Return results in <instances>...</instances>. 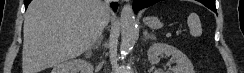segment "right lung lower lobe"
Instances as JSON below:
<instances>
[{"instance_id": "98d812e1", "label": "right lung lower lobe", "mask_w": 244, "mask_h": 73, "mask_svg": "<svg viewBox=\"0 0 244 73\" xmlns=\"http://www.w3.org/2000/svg\"><path fill=\"white\" fill-rule=\"evenodd\" d=\"M32 0H24V4H25V9L27 8L28 4L31 2ZM112 8L114 10L117 9V3H112Z\"/></svg>"}]
</instances>
